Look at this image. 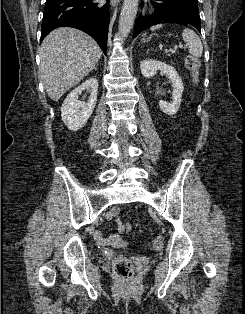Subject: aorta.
<instances>
[{
	"label": "aorta",
	"instance_id": "aorta-1",
	"mask_svg": "<svg viewBox=\"0 0 245 314\" xmlns=\"http://www.w3.org/2000/svg\"><path fill=\"white\" fill-rule=\"evenodd\" d=\"M139 0H124L119 19V34L126 38L130 33L138 10Z\"/></svg>",
	"mask_w": 245,
	"mask_h": 314
}]
</instances>
